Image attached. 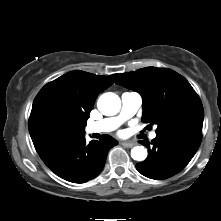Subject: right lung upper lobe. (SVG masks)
<instances>
[{"instance_id": "1", "label": "right lung upper lobe", "mask_w": 221, "mask_h": 221, "mask_svg": "<svg viewBox=\"0 0 221 221\" xmlns=\"http://www.w3.org/2000/svg\"><path fill=\"white\" fill-rule=\"evenodd\" d=\"M117 74L98 76L75 70L47 83L34 99L29 118V132L34 146L55 139L48 131V121L64 116L75 126L85 127L94 102L110 87Z\"/></svg>"}]
</instances>
